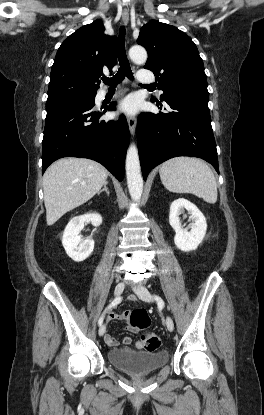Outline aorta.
I'll use <instances>...</instances> for the list:
<instances>
[{"label":"aorta","mask_w":264,"mask_h":415,"mask_svg":"<svg viewBox=\"0 0 264 415\" xmlns=\"http://www.w3.org/2000/svg\"><path fill=\"white\" fill-rule=\"evenodd\" d=\"M129 56L135 63H144L147 60V52L141 46H133L129 50ZM127 185L132 200L139 201L143 192V179L137 147L131 144L126 155Z\"/></svg>","instance_id":"aorta-1"}]
</instances>
